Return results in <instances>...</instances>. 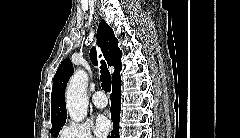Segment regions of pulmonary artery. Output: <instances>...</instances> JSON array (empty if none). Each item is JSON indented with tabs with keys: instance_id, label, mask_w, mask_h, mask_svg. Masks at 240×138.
Here are the masks:
<instances>
[{
	"instance_id": "pulmonary-artery-1",
	"label": "pulmonary artery",
	"mask_w": 240,
	"mask_h": 138,
	"mask_svg": "<svg viewBox=\"0 0 240 138\" xmlns=\"http://www.w3.org/2000/svg\"><path fill=\"white\" fill-rule=\"evenodd\" d=\"M92 101L97 108H105L108 104L106 96L102 91L95 92L92 96Z\"/></svg>"
}]
</instances>
